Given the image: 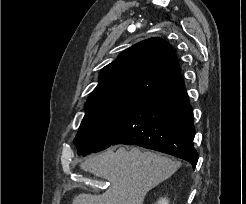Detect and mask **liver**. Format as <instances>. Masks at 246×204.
Here are the masks:
<instances>
[{"label":"liver","mask_w":246,"mask_h":204,"mask_svg":"<svg viewBox=\"0 0 246 204\" xmlns=\"http://www.w3.org/2000/svg\"><path fill=\"white\" fill-rule=\"evenodd\" d=\"M181 163L138 147H119L81 163L82 170L110 182L101 195L81 193L72 204H143L149 190L168 179Z\"/></svg>","instance_id":"1"}]
</instances>
